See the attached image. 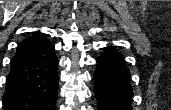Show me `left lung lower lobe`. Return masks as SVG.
<instances>
[{
  "mask_svg": "<svg viewBox=\"0 0 171 110\" xmlns=\"http://www.w3.org/2000/svg\"><path fill=\"white\" fill-rule=\"evenodd\" d=\"M94 80L98 110H132L129 69L114 47H107L98 57Z\"/></svg>",
  "mask_w": 171,
  "mask_h": 110,
  "instance_id": "obj_1",
  "label": "left lung lower lobe"
}]
</instances>
